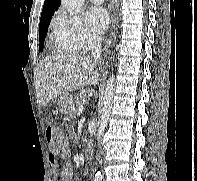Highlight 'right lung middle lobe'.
I'll return each mask as SVG.
<instances>
[{"label":"right lung middle lobe","instance_id":"1","mask_svg":"<svg viewBox=\"0 0 197 181\" xmlns=\"http://www.w3.org/2000/svg\"><path fill=\"white\" fill-rule=\"evenodd\" d=\"M53 14L41 16L40 19V25H39V39H40V44H39V50L42 51L44 47V40L48 32V26L50 24V20L52 18Z\"/></svg>","mask_w":197,"mask_h":181}]
</instances>
